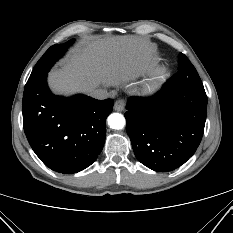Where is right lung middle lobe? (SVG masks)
I'll return each instance as SVG.
<instances>
[{
	"instance_id": "1",
	"label": "right lung middle lobe",
	"mask_w": 233,
	"mask_h": 233,
	"mask_svg": "<svg viewBox=\"0 0 233 233\" xmlns=\"http://www.w3.org/2000/svg\"><path fill=\"white\" fill-rule=\"evenodd\" d=\"M75 39L69 40L66 44L51 46L35 65L26 86L36 82L39 78L46 75L52 65L63 55L66 49L73 44Z\"/></svg>"
}]
</instances>
